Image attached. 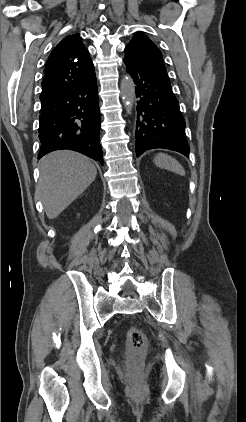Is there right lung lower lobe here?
Masks as SVG:
<instances>
[{"instance_id": "right-lung-lower-lobe-1", "label": "right lung lower lobe", "mask_w": 246, "mask_h": 422, "mask_svg": "<svg viewBox=\"0 0 246 422\" xmlns=\"http://www.w3.org/2000/svg\"><path fill=\"white\" fill-rule=\"evenodd\" d=\"M41 104L39 158L51 151L69 149L103 164L96 76Z\"/></svg>"}]
</instances>
